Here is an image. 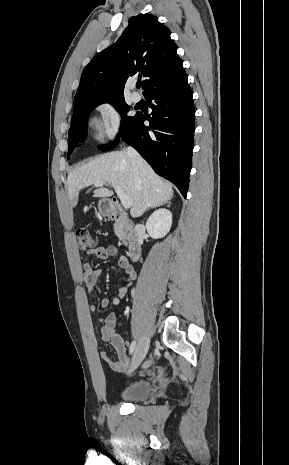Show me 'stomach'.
I'll use <instances>...</instances> for the list:
<instances>
[{"instance_id":"0dacf381","label":"stomach","mask_w":289,"mask_h":465,"mask_svg":"<svg viewBox=\"0 0 289 465\" xmlns=\"http://www.w3.org/2000/svg\"><path fill=\"white\" fill-rule=\"evenodd\" d=\"M98 210L102 215L108 214L110 212V207L107 199H101L98 202Z\"/></svg>"}]
</instances>
